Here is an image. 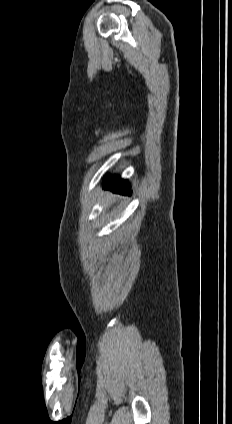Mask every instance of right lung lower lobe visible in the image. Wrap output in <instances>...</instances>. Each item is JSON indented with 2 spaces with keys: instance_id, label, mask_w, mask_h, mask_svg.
Segmentation results:
<instances>
[{
  "instance_id": "1",
  "label": "right lung lower lobe",
  "mask_w": 232,
  "mask_h": 424,
  "mask_svg": "<svg viewBox=\"0 0 232 424\" xmlns=\"http://www.w3.org/2000/svg\"><path fill=\"white\" fill-rule=\"evenodd\" d=\"M106 189H111L117 193L130 194L129 185L126 180H122L119 177H111L108 179Z\"/></svg>"
}]
</instances>
